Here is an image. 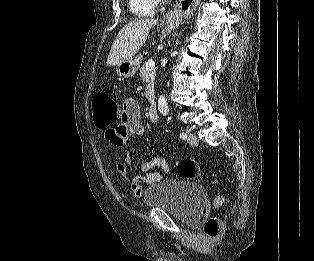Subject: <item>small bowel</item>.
<instances>
[{
	"mask_svg": "<svg viewBox=\"0 0 314 261\" xmlns=\"http://www.w3.org/2000/svg\"><path fill=\"white\" fill-rule=\"evenodd\" d=\"M145 132V127L140 123L138 102L128 99L123 104L120 123L116 126H108L104 139L109 140L110 148H123L127 138L143 135ZM132 163L131 155L126 153L123 160L115 165V171L129 186L134 198H140L143 195V189L139 182L149 186L161 181L162 176L154 170L155 168H159L165 173L170 172L167 161L162 157H155L141 164L138 172L134 175L129 173Z\"/></svg>",
	"mask_w": 314,
	"mask_h": 261,
	"instance_id": "small-bowel-1",
	"label": "small bowel"
}]
</instances>
